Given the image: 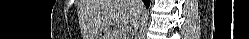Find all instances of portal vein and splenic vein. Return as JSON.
Listing matches in <instances>:
<instances>
[{"label": "portal vein and splenic vein", "mask_w": 249, "mask_h": 39, "mask_svg": "<svg viewBox=\"0 0 249 39\" xmlns=\"http://www.w3.org/2000/svg\"><path fill=\"white\" fill-rule=\"evenodd\" d=\"M124 31H125V29H124V28H122L119 32H120V33H122V32H124Z\"/></svg>", "instance_id": "obj_1"}]
</instances>
